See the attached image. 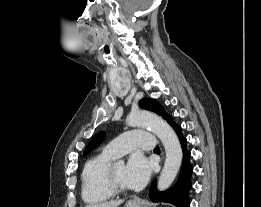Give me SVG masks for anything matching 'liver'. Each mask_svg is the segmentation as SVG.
<instances>
[{
	"label": "liver",
	"mask_w": 261,
	"mask_h": 207,
	"mask_svg": "<svg viewBox=\"0 0 261 207\" xmlns=\"http://www.w3.org/2000/svg\"><path fill=\"white\" fill-rule=\"evenodd\" d=\"M123 203V200H111L108 202H102L99 204H89L85 207H118L120 204Z\"/></svg>",
	"instance_id": "obj_1"
}]
</instances>
